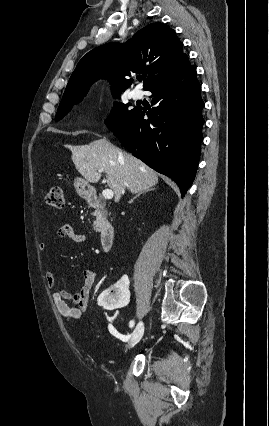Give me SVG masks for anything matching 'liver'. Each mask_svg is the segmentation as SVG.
Segmentation results:
<instances>
[{
	"label": "liver",
	"mask_w": 269,
	"mask_h": 426,
	"mask_svg": "<svg viewBox=\"0 0 269 426\" xmlns=\"http://www.w3.org/2000/svg\"><path fill=\"white\" fill-rule=\"evenodd\" d=\"M72 160L78 172L90 183L101 178L98 169L107 174V184L115 202L127 188L131 193L149 190L158 183V174L129 153L122 152L106 139L88 145L71 147Z\"/></svg>",
	"instance_id": "6515ba94"
}]
</instances>
